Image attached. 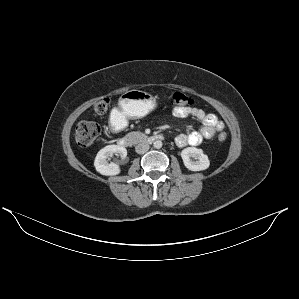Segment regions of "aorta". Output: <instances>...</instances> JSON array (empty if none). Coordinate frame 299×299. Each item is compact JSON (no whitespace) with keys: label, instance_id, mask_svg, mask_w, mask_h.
<instances>
[{"label":"aorta","instance_id":"obj_1","mask_svg":"<svg viewBox=\"0 0 299 299\" xmlns=\"http://www.w3.org/2000/svg\"><path fill=\"white\" fill-rule=\"evenodd\" d=\"M162 141H160V140H156V141H154V143H153V146L156 148V149H160L161 147H162Z\"/></svg>","mask_w":299,"mask_h":299}]
</instances>
